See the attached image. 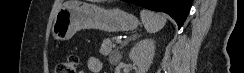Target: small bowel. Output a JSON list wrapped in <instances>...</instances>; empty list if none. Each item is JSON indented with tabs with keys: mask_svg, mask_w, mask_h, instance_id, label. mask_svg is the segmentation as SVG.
<instances>
[{
	"mask_svg": "<svg viewBox=\"0 0 244 73\" xmlns=\"http://www.w3.org/2000/svg\"><path fill=\"white\" fill-rule=\"evenodd\" d=\"M88 70L90 73H100L102 70V62L95 57H91L87 62ZM80 73H84L83 71Z\"/></svg>",
	"mask_w": 244,
	"mask_h": 73,
	"instance_id": "small-bowel-1",
	"label": "small bowel"
}]
</instances>
